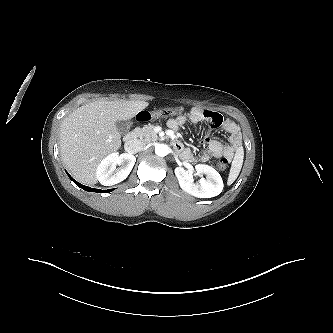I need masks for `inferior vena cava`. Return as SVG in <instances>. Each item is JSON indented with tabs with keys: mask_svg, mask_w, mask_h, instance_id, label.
<instances>
[{
	"mask_svg": "<svg viewBox=\"0 0 333 333\" xmlns=\"http://www.w3.org/2000/svg\"><path fill=\"white\" fill-rule=\"evenodd\" d=\"M125 151L129 154H135L145 148V142L141 140L129 141L125 144Z\"/></svg>",
	"mask_w": 333,
	"mask_h": 333,
	"instance_id": "obj_1",
	"label": "inferior vena cava"
}]
</instances>
